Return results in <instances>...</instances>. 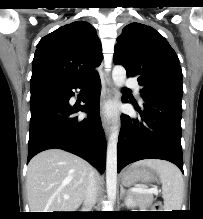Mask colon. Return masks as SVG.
I'll list each match as a JSON object with an SVG mask.
<instances>
[{
	"label": "colon",
	"mask_w": 203,
	"mask_h": 219,
	"mask_svg": "<svg viewBox=\"0 0 203 219\" xmlns=\"http://www.w3.org/2000/svg\"><path fill=\"white\" fill-rule=\"evenodd\" d=\"M161 208H162L161 203H156V204H154V210H155V211H160Z\"/></svg>",
	"instance_id": "5ec220e1"
}]
</instances>
